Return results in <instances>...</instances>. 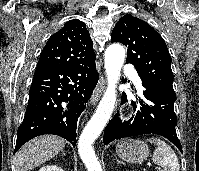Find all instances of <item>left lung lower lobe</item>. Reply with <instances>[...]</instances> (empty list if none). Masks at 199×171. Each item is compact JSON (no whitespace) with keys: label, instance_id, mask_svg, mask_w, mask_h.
<instances>
[{"label":"left lung lower lobe","instance_id":"obj_1","mask_svg":"<svg viewBox=\"0 0 199 171\" xmlns=\"http://www.w3.org/2000/svg\"><path fill=\"white\" fill-rule=\"evenodd\" d=\"M142 85L144 87L143 99H140V107L136 115L128 121H122L117 112L105 128L104 144L124 137L156 134L167 138L182 152L175 129L177 125V117L174 112L176 95L153 85L145 83ZM125 102L126 94L122 93L121 103ZM132 106L136 111V103L132 102Z\"/></svg>","mask_w":199,"mask_h":171}]
</instances>
